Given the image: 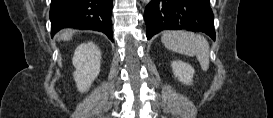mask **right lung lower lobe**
I'll use <instances>...</instances> for the list:
<instances>
[{"label":"right lung lower lobe","mask_w":273,"mask_h":118,"mask_svg":"<svg viewBox=\"0 0 273 118\" xmlns=\"http://www.w3.org/2000/svg\"><path fill=\"white\" fill-rule=\"evenodd\" d=\"M112 0H51V36L72 27L105 33L113 41Z\"/></svg>","instance_id":"98d812e1"}]
</instances>
